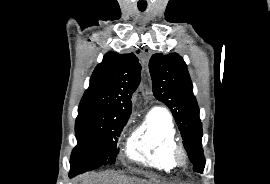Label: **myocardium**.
<instances>
[{"label": "myocardium", "instance_id": "f54148a6", "mask_svg": "<svg viewBox=\"0 0 270 184\" xmlns=\"http://www.w3.org/2000/svg\"><path fill=\"white\" fill-rule=\"evenodd\" d=\"M173 160L176 166H184L188 161V154L182 145H176L173 151Z\"/></svg>", "mask_w": 270, "mask_h": 184}]
</instances>
